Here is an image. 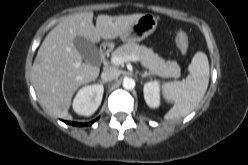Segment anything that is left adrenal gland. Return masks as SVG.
<instances>
[{"instance_id": "a2214340", "label": "left adrenal gland", "mask_w": 248, "mask_h": 165, "mask_svg": "<svg viewBox=\"0 0 248 165\" xmlns=\"http://www.w3.org/2000/svg\"><path fill=\"white\" fill-rule=\"evenodd\" d=\"M152 73L145 71L144 73L141 74L142 78H145L146 76H151Z\"/></svg>"}]
</instances>
